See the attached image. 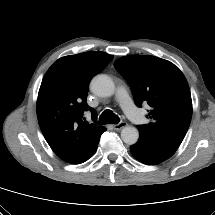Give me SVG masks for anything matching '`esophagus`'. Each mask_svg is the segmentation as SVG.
Masks as SVG:
<instances>
[{
  "mask_svg": "<svg viewBox=\"0 0 215 215\" xmlns=\"http://www.w3.org/2000/svg\"><path fill=\"white\" fill-rule=\"evenodd\" d=\"M126 126H127V123L124 122V121H122V122H120V123H118V124L113 125V128H114L115 130L119 131V130L125 128Z\"/></svg>",
  "mask_w": 215,
  "mask_h": 215,
  "instance_id": "34e87169",
  "label": "esophagus"
}]
</instances>
